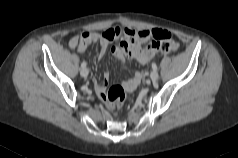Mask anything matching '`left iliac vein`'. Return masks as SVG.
Wrapping results in <instances>:
<instances>
[{
  "instance_id": "1",
  "label": "left iliac vein",
  "mask_w": 238,
  "mask_h": 158,
  "mask_svg": "<svg viewBox=\"0 0 238 158\" xmlns=\"http://www.w3.org/2000/svg\"><path fill=\"white\" fill-rule=\"evenodd\" d=\"M150 78L152 81H156L159 78V74L156 70H153L150 74Z\"/></svg>"
}]
</instances>
